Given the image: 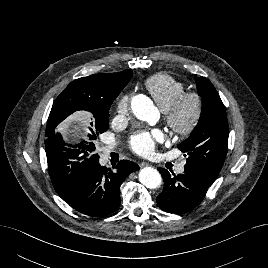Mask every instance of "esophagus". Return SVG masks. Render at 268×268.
Here are the masks:
<instances>
[{
    "label": "esophagus",
    "mask_w": 268,
    "mask_h": 268,
    "mask_svg": "<svg viewBox=\"0 0 268 268\" xmlns=\"http://www.w3.org/2000/svg\"><path fill=\"white\" fill-rule=\"evenodd\" d=\"M139 165H140V167H144V166H148L149 163L142 161L139 163Z\"/></svg>",
    "instance_id": "esophagus-1"
}]
</instances>
